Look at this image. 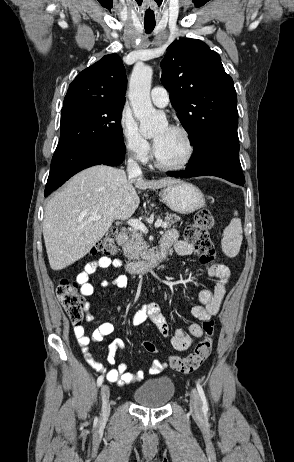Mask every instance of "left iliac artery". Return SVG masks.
<instances>
[{"label":"left iliac artery","instance_id":"1","mask_svg":"<svg viewBox=\"0 0 294 462\" xmlns=\"http://www.w3.org/2000/svg\"><path fill=\"white\" fill-rule=\"evenodd\" d=\"M196 387H197L198 393H199L201 401H202V409H203V411H207L208 410L207 399H206L204 390H203L202 386L200 385V383L198 381L196 382Z\"/></svg>","mask_w":294,"mask_h":462}]
</instances>
